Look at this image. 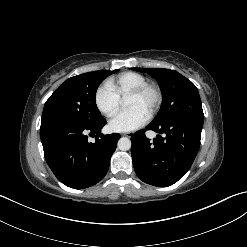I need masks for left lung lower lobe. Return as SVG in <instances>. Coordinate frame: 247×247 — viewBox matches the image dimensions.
<instances>
[{"mask_svg":"<svg viewBox=\"0 0 247 247\" xmlns=\"http://www.w3.org/2000/svg\"><path fill=\"white\" fill-rule=\"evenodd\" d=\"M203 120L175 117L168 123H150L132 135L131 155L133 166L140 180L157 186L167 187L181 179L191 167L200 147ZM146 130L157 135L150 141Z\"/></svg>","mask_w":247,"mask_h":247,"instance_id":"left-lung-lower-lobe-1","label":"left lung lower lobe"}]
</instances>
